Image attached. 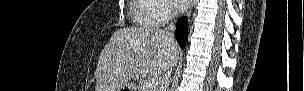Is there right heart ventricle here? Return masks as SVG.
<instances>
[{"mask_svg": "<svg viewBox=\"0 0 304 91\" xmlns=\"http://www.w3.org/2000/svg\"><path fill=\"white\" fill-rule=\"evenodd\" d=\"M152 6L144 0H135L133 1V7L131 9L132 15L136 19L137 23L143 26L154 25L149 20V15L152 10Z\"/></svg>", "mask_w": 304, "mask_h": 91, "instance_id": "right-heart-ventricle-1", "label": "right heart ventricle"}]
</instances>
